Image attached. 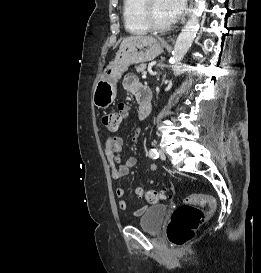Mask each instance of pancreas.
<instances>
[{
	"mask_svg": "<svg viewBox=\"0 0 261 273\" xmlns=\"http://www.w3.org/2000/svg\"><path fill=\"white\" fill-rule=\"evenodd\" d=\"M146 66L147 65L145 63H142V64L136 66L135 68L138 73H143V72H145Z\"/></svg>",
	"mask_w": 261,
	"mask_h": 273,
	"instance_id": "obj_1",
	"label": "pancreas"
}]
</instances>
